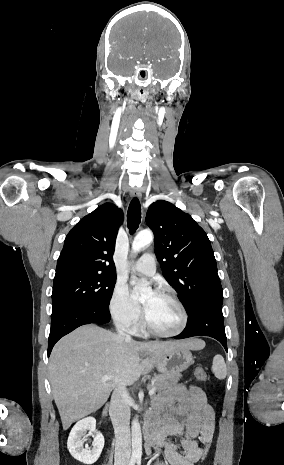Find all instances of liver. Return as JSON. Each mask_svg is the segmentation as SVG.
<instances>
[{"mask_svg": "<svg viewBox=\"0 0 284 465\" xmlns=\"http://www.w3.org/2000/svg\"><path fill=\"white\" fill-rule=\"evenodd\" d=\"M181 343L191 351L205 347L202 339L194 337L169 343L125 341L96 325H84L60 339L50 357L49 375L64 431L74 421L101 409L112 389L133 385L141 375L150 373L154 357L170 353ZM141 353H149L153 359H140ZM102 375L113 379L101 383Z\"/></svg>", "mask_w": 284, "mask_h": 465, "instance_id": "liver-1", "label": "liver"}]
</instances>
